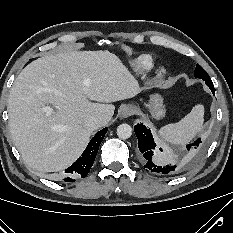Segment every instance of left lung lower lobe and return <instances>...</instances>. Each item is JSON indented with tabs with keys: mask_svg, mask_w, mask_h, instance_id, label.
Listing matches in <instances>:
<instances>
[{
	"mask_svg": "<svg viewBox=\"0 0 233 233\" xmlns=\"http://www.w3.org/2000/svg\"><path fill=\"white\" fill-rule=\"evenodd\" d=\"M206 85H208L213 94L215 89L209 77L203 78ZM134 131L138 138V147L145 159L144 168L147 170L163 176H170L177 172L179 165L172 159L167 157V153L156 145L151 131L143 124L134 126ZM201 143L200 138L191 144L186 145V160L192 159Z\"/></svg>",
	"mask_w": 233,
	"mask_h": 233,
	"instance_id": "left-lung-lower-lobe-1",
	"label": "left lung lower lobe"
}]
</instances>
